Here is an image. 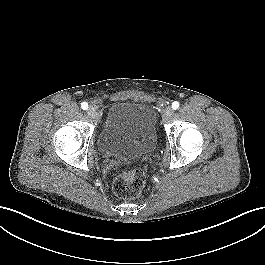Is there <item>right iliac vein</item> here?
I'll use <instances>...</instances> for the list:
<instances>
[{
	"instance_id": "right-iliac-vein-1",
	"label": "right iliac vein",
	"mask_w": 265,
	"mask_h": 265,
	"mask_svg": "<svg viewBox=\"0 0 265 265\" xmlns=\"http://www.w3.org/2000/svg\"><path fill=\"white\" fill-rule=\"evenodd\" d=\"M87 113L93 119H95L97 117V111L93 107H89V109L87 110Z\"/></svg>"
}]
</instances>
